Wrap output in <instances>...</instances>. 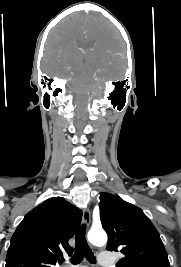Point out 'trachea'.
<instances>
[{"label": "trachea", "mask_w": 181, "mask_h": 267, "mask_svg": "<svg viewBox=\"0 0 181 267\" xmlns=\"http://www.w3.org/2000/svg\"><path fill=\"white\" fill-rule=\"evenodd\" d=\"M86 226L82 225L76 232L75 236V252L71 257V262L73 264H78L85 257L90 263H95V256L88 246V243L85 238Z\"/></svg>", "instance_id": "obj_1"}]
</instances>
